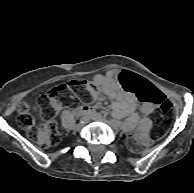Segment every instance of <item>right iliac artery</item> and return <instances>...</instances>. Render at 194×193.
Masks as SVG:
<instances>
[{
    "label": "right iliac artery",
    "mask_w": 194,
    "mask_h": 193,
    "mask_svg": "<svg viewBox=\"0 0 194 193\" xmlns=\"http://www.w3.org/2000/svg\"><path fill=\"white\" fill-rule=\"evenodd\" d=\"M85 120H84V118H82L81 120H80V122H84Z\"/></svg>",
    "instance_id": "82829eb1"
}]
</instances>
